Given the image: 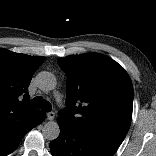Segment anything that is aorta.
Listing matches in <instances>:
<instances>
[{"label":"aorta","instance_id":"762f6f07","mask_svg":"<svg viewBox=\"0 0 156 156\" xmlns=\"http://www.w3.org/2000/svg\"><path fill=\"white\" fill-rule=\"evenodd\" d=\"M38 88L44 92L53 90L56 87V78L51 72L43 71L37 75ZM60 134V128L57 122L48 121L44 124L42 135L45 139L55 140Z\"/></svg>","mask_w":156,"mask_h":156}]
</instances>
